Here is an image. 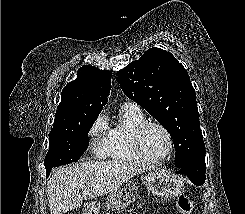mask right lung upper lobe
Here are the masks:
<instances>
[{
    "instance_id": "obj_1",
    "label": "right lung upper lobe",
    "mask_w": 245,
    "mask_h": 214,
    "mask_svg": "<svg viewBox=\"0 0 245 214\" xmlns=\"http://www.w3.org/2000/svg\"><path fill=\"white\" fill-rule=\"evenodd\" d=\"M111 75V71L82 66L77 72V79L68 83L62 91L50 135L70 128L81 115L101 112L108 101Z\"/></svg>"
}]
</instances>
